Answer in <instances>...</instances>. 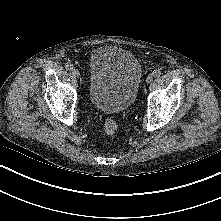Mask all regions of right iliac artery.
Instances as JSON below:
<instances>
[{"label":"right iliac artery","instance_id":"1","mask_svg":"<svg viewBox=\"0 0 221 221\" xmlns=\"http://www.w3.org/2000/svg\"><path fill=\"white\" fill-rule=\"evenodd\" d=\"M65 68H66L67 70H72V69L74 68V66H73L72 63H66Z\"/></svg>","mask_w":221,"mask_h":221}]
</instances>
